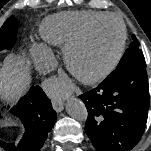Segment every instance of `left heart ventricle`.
<instances>
[{"label":"left heart ventricle","instance_id":"left-heart-ventricle-1","mask_svg":"<svg viewBox=\"0 0 151 151\" xmlns=\"http://www.w3.org/2000/svg\"><path fill=\"white\" fill-rule=\"evenodd\" d=\"M121 38V29L114 20L100 24L85 44L74 54L77 69L92 74L105 67L115 56Z\"/></svg>","mask_w":151,"mask_h":151}]
</instances>
